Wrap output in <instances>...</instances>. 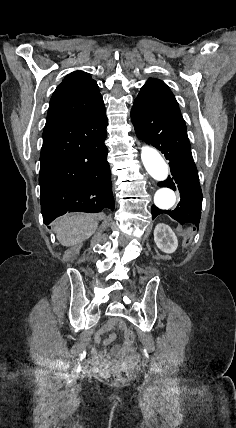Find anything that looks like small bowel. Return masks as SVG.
<instances>
[{"mask_svg":"<svg viewBox=\"0 0 236 428\" xmlns=\"http://www.w3.org/2000/svg\"><path fill=\"white\" fill-rule=\"evenodd\" d=\"M125 330V324L123 321L117 318L110 319L103 327H101L94 337L96 344H99L105 335L108 337L104 340L105 344H110L114 339L115 335L113 331ZM91 355L94 363L103 370H106L113 363L119 361L123 364H132L138 360V356L132 351L127 345H114L110 352L99 351L97 348L91 349Z\"/></svg>","mask_w":236,"mask_h":428,"instance_id":"small-bowel-1","label":"small bowel"}]
</instances>
